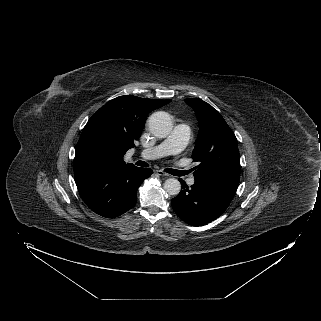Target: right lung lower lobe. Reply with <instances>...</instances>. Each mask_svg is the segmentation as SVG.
Here are the masks:
<instances>
[{"label":"right lung lower lobe","mask_w":321,"mask_h":321,"mask_svg":"<svg viewBox=\"0 0 321 321\" xmlns=\"http://www.w3.org/2000/svg\"><path fill=\"white\" fill-rule=\"evenodd\" d=\"M151 174V169L135 166L104 167L75 177V182L92 211L115 218L136 204L137 189Z\"/></svg>","instance_id":"obj_1"}]
</instances>
